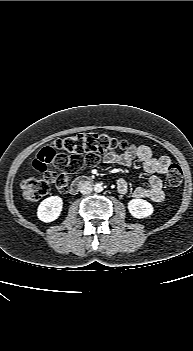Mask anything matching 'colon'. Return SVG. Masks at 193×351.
<instances>
[{"instance_id": "obj_1", "label": "colon", "mask_w": 193, "mask_h": 351, "mask_svg": "<svg viewBox=\"0 0 193 351\" xmlns=\"http://www.w3.org/2000/svg\"><path fill=\"white\" fill-rule=\"evenodd\" d=\"M128 147L126 141L107 134L86 133L58 139L51 146L42 148L34 159L33 167L43 174V178L22 181V194L28 201H37L49 193L52 184L63 191L68 186L69 174L84 167H93L107 153L125 150ZM57 151L65 153H57ZM50 164L61 172L47 171V166ZM182 179L183 173L180 166L175 163L170 164L167 169L168 184L171 187H178Z\"/></svg>"}]
</instances>
